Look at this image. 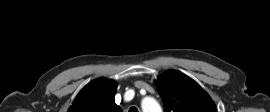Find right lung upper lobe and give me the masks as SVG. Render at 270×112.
<instances>
[{"label": "right lung upper lobe", "instance_id": "cb5924a9", "mask_svg": "<svg viewBox=\"0 0 270 112\" xmlns=\"http://www.w3.org/2000/svg\"><path fill=\"white\" fill-rule=\"evenodd\" d=\"M116 91L115 81L95 79L82 89L68 112H122L115 103Z\"/></svg>", "mask_w": 270, "mask_h": 112}]
</instances>
